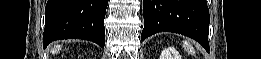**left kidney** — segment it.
<instances>
[{
	"label": "left kidney",
	"instance_id": "obj_1",
	"mask_svg": "<svg viewBox=\"0 0 261 59\" xmlns=\"http://www.w3.org/2000/svg\"><path fill=\"white\" fill-rule=\"evenodd\" d=\"M160 59H181V56L175 48L168 47L161 52Z\"/></svg>",
	"mask_w": 261,
	"mask_h": 59
}]
</instances>
